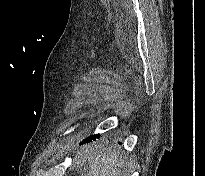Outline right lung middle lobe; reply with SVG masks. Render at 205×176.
<instances>
[{
	"instance_id": "right-lung-middle-lobe-1",
	"label": "right lung middle lobe",
	"mask_w": 205,
	"mask_h": 176,
	"mask_svg": "<svg viewBox=\"0 0 205 176\" xmlns=\"http://www.w3.org/2000/svg\"><path fill=\"white\" fill-rule=\"evenodd\" d=\"M99 137H100L99 134H98V135H93V136H91L90 138H87L86 141L95 140L96 138H99Z\"/></svg>"
}]
</instances>
